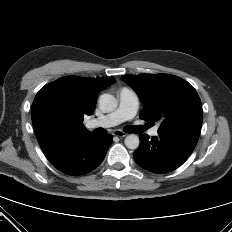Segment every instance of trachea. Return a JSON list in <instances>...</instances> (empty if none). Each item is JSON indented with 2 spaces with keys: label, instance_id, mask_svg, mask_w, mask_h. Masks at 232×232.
I'll use <instances>...</instances> for the list:
<instances>
[{
  "label": "trachea",
  "instance_id": "trachea-1",
  "mask_svg": "<svg viewBox=\"0 0 232 232\" xmlns=\"http://www.w3.org/2000/svg\"><path fill=\"white\" fill-rule=\"evenodd\" d=\"M149 128V125L146 124L144 126H129L127 128H125V131L128 132V133H142L144 132L146 129Z\"/></svg>",
  "mask_w": 232,
  "mask_h": 232
}]
</instances>
